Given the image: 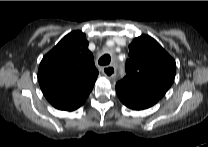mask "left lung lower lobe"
Returning a JSON list of instances; mask_svg holds the SVG:
<instances>
[{
    "label": "left lung lower lobe",
    "mask_w": 208,
    "mask_h": 147,
    "mask_svg": "<svg viewBox=\"0 0 208 147\" xmlns=\"http://www.w3.org/2000/svg\"><path fill=\"white\" fill-rule=\"evenodd\" d=\"M116 93L121 102L134 110L147 109L156 104L159 98L145 92L129 88L123 84H116Z\"/></svg>",
    "instance_id": "obj_1"
}]
</instances>
